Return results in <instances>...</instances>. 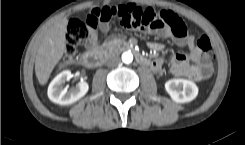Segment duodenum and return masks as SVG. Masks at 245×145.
<instances>
[{
	"instance_id": "410a0bca",
	"label": "duodenum",
	"mask_w": 245,
	"mask_h": 145,
	"mask_svg": "<svg viewBox=\"0 0 245 145\" xmlns=\"http://www.w3.org/2000/svg\"><path fill=\"white\" fill-rule=\"evenodd\" d=\"M125 51H132V46L128 45L125 47H122ZM133 52V51H132ZM136 60L140 63V64H147V61L139 54L134 53ZM100 61V55L98 53H93V52H89L87 53V55L85 56L84 59V63L87 66L90 67H95L99 64Z\"/></svg>"
}]
</instances>
